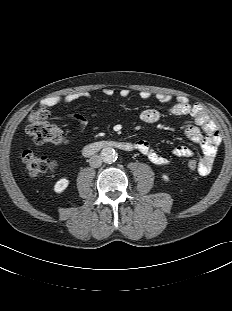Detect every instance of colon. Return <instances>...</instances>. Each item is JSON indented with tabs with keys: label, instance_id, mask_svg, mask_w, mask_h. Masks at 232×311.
<instances>
[{
	"label": "colon",
	"instance_id": "5ec220e1",
	"mask_svg": "<svg viewBox=\"0 0 232 311\" xmlns=\"http://www.w3.org/2000/svg\"><path fill=\"white\" fill-rule=\"evenodd\" d=\"M27 133L32 137L36 145L60 144L65 141L62 130L48 121V111L46 109H38L33 112L31 122L27 127ZM22 162L31 177L52 171L56 167L55 161L38 155L31 150H25L22 153ZM187 166L189 169L195 170L198 168V162L191 159L188 161Z\"/></svg>",
	"mask_w": 232,
	"mask_h": 311
}]
</instances>
